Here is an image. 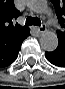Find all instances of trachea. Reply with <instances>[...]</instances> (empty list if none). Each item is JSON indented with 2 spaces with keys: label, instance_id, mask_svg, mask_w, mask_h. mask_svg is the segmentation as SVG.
<instances>
[{
  "label": "trachea",
  "instance_id": "3493384b",
  "mask_svg": "<svg viewBox=\"0 0 65 89\" xmlns=\"http://www.w3.org/2000/svg\"><path fill=\"white\" fill-rule=\"evenodd\" d=\"M25 25L26 26H32V25L41 26V21L37 17H31V16H29V17L26 18Z\"/></svg>",
  "mask_w": 65,
  "mask_h": 89
}]
</instances>
